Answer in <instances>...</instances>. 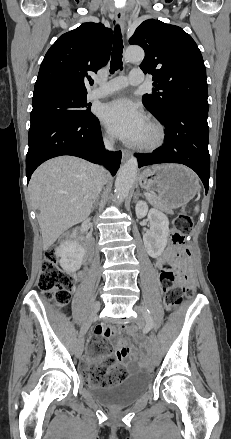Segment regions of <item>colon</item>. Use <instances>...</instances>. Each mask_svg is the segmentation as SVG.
<instances>
[{"label": "colon", "mask_w": 231, "mask_h": 439, "mask_svg": "<svg viewBox=\"0 0 231 439\" xmlns=\"http://www.w3.org/2000/svg\"><path fill=\"white\" fill-rule=\"evenodd\" d=\"M192 227V218L187 212H180L174 219V232L171 236L172 244L177 247V260L166 264L160 269V282L165 292V303L169 308L176 307L182 300V292L193 296L195 290L190 284L189 276L184 270V262L188 257L185 249V233ZM178 265L179 270L174 271L173 265ZM38 286L46 300H54L58 306L66 305L74 287L72 275L63 272L58 264L54 249H49L42 263ZM131 334L136 333V328L129 326L125 329ZM91 350L97 354H107L110 347L102 338L93 337L90 340ZM127 376V370L119 365L110 366L107 370L100 366L92 368L89 380L99 386H110L122 382Z\"/></svg>", "instance_id": "obj_1"}]
</instances>
